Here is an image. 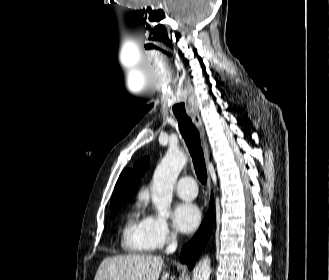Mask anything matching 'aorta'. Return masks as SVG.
Returning a JSON list of instances; mask_svg holds the SVG:
<instances>
[{
  "label": "aorta",
  "mask_w": 329,
  "mask_h": 280,
  "mask_svg": "<svg viewBox=\"0 0 329 280\" xmlns=\"http://www.w3.org/2000/svg\"><path fill=\"white\" fill-rule=\"evenodd\" d=\"M187 163V156L177 148H170L157 166L152 180V202L159 215H171L173 188L178 175ZM211 260L203 257L192 271V280H209Z\"/></svg>",
  "instance_id": "aorta-1"
}]
</instances>
